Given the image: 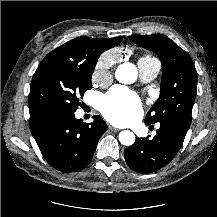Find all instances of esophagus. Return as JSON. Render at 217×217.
I'll return each instance as SVG.
<instances>
[{"instance_id": "obj_1", "label": "esophagus", "mask_w": 217, "mask_h": 217, "mask_svg": "<svg viewBox=\"0 0 217 217\" xmlns=\"http://www.w3.org/2000/svg\"><path fill=\"white\" fill-rule=\"evenodd\" d=\"M109 130L114 131V132H118L119 131L118 128H115V127H113L111 125L109 126Z\"/></svg>"}]
</instances>
